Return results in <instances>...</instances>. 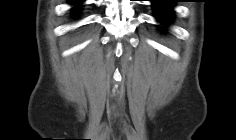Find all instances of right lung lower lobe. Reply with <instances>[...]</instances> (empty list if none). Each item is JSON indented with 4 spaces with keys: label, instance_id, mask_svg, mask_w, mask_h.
Segmentation results:
<instances>
[{
    "label": "right lung lower lobe",
    "instance_id": "98d812e1",
    "mask_svg": "<svg viewBox=\"0 0 236 140\" xmlns=\"http://www.w3.org/2000/svg\"><path fill=\"white\" fill-rule=\"evenodd\" d=\"M74 5H76V7L74 9H78L80 7V5H78L79 3L82 2V0H72L71 1Z\"/></svg>",
    "mask_w": 236,
    "mask_h": 140
}]
</instances>
